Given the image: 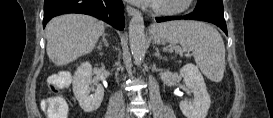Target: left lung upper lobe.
<instances>
[{
	"instance_id": "obj_1",
	"label": "left lung upper lobe",
	"mask_w": 273,
	"mask_h": 118,
	"mask_svg": "<svg viewBox=\"0 0 273 118\" xmlns=\"http://www.w3.org/2000/svg\"><path fill=\"white\" fill-rule=\"evenodd\" d=\"M195 11L208 12L224 16L222 0H198Z\"/></svg>"
}]
</instances>
